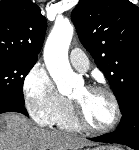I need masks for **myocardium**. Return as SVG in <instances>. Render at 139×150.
Wrapping results in <instances>:
<instances>
[{
  "instance_id": "1",
  "label": "myocardium",
  "mask_w": 139,
  "mask_h": 150,
  "mask_svg": "<svg viewBox=\"0 0 139 150\" xmlns=\"http://www.w3.org/2000/svg\"><path fill=\"white\" fill-rule=\"evenodd\" d=\"M85 87L90 91L103 92L106 95H108V97L110 98V100L112 102L114 115H113V119H112L111 123L108 126L103 127V128L93 127L85 119V116H84V113H83L80 103L74 99H71V104L73 107V115H74V119H75L77 125L81 129L88 131L90 133L105 134V133L111 132L119 124L121 115H122L121 106H120L118 97L111 89H109L108 87L103 86V85L91 84V85H86Z\"/></svg>"
}]
</instances>
